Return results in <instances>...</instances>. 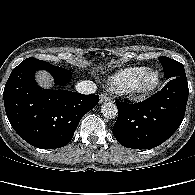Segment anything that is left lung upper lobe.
<instances>
[{
    "label": "left lung upper lobe",
    "instance_id": "obj_1",
    "mask_svg": "<svg viewBox=\"0 0 195 195\" xmlns=\"http://www.w3.org/2000/svg\"><path fill=\"white\" fill-rule=\"evenodd\" d=\"M159 60L163 66L164 75L167 79L186 77L184 66L180 62L168 57H159Z\"/></svg>",
    "mask_w": 195,
    "mask_h": 195
}]
</instances>
